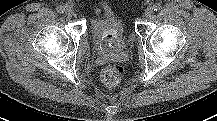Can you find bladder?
Returning a JSON list of instances; mask_svg holds the SVG:
<instances>
[{"label": "bladder", "mask_w": 217, "mask_h": 121, "mask_svg": "<svg viewBox=\"0 0 217 121\" xmlns=\"http://www.w3.org/2000/svg\"><path fill=\"white\" fill-rule=\"evenodd\" d=\"M91 31L99 50L103 53L117 54L126 47L125 27L113 12L95 17Z\"/></svg>", "instance_id": "31cf9c89"}]
</instances>
